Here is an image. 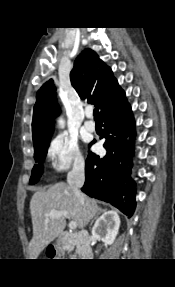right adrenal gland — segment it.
Here are the masks:
<instances>
[{"mask_svg":"<svg viewBox=\"0 0 175 287\" xmlns=\"http://www.w3.org/2000/svg\"><path fill=\"white\" fill-rule=\"evenodd\" d=\"M105 210H101V212H104ZM93 223V220L91 221V223L90 224H92Z\"/></svg>","mask_w":175,"mask_h":287,"instance_id":"1","label":"right adrenal gland"}]
</instances>
